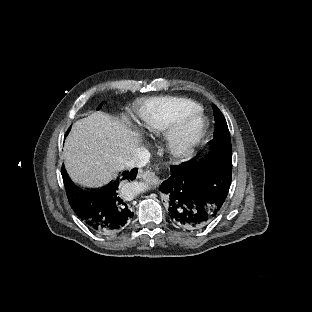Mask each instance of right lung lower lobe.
<instances>
[{
	"instance_id": "98d812e1",
	"label": "right lung lower lobe",
	"mask_w": 312,
	"mask_h": 312,
	"mask_svg": "<svg viewBox=\"0 0 312 312\" xmlns=\"http://www.w3.org/2000/svg\"><path fill=\"white\" fill-rule=\"evenodd\" d=\"M61 172L69 203L90 230L103 235H112L128 226L134 213L123 192L126 183L135 179L137 168L124 171L116 180L91 191L75 186L68 177L64 165Z\"/></svg>"
}]
</instances>
